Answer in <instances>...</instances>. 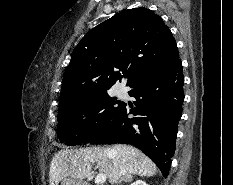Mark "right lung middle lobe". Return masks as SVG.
I'll return each mask as SVG.
<instances>
[{"label":"right lung middle lobe","mask_w":233,"mask_h":185,"mask_svg":"<svg viewBox=\"0 0 233 185\" xmlns=\"http://www.w3.org/2000/svg\"><path fill=\"white\" fill-rule=\"evenodd\" d=\"M107 91L96 93L59 108L58 136L61 142L81 144L103 128L122 106Z\"/></svg>","instance_id":"dd1d6c3e"}]
</instances>
